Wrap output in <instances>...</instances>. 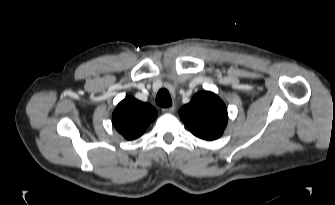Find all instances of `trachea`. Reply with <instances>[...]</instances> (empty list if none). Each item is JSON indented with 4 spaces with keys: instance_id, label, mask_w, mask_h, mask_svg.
Instances as JSON below:
<instances>
[{
    "instance_id": "1",
    "label": "trachea",
    "mask_w": 335,
    "mask_h": 205,
    "mask_svg": "<svg viewBox=\"0 0 335 205\" xmlns=\"http://www.w3.org/2000/svg\"><path fill=\"white\" fill-rule=\"evenodd\" d=\"M156 103L164 108L170 107L172 105L170 94L166 89L159 90L156 96Z\"/></svg>"
}]
</instances>
